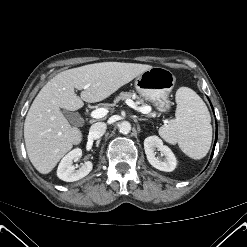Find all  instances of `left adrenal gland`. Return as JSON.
Here are the masks:
<instances>
[{"label":"left adrenal gland","instance_id":"1","mask_svg":"<svg viewBox=\"0 0 247 247\" xmlns=\"http://www.w3.org/2000/svg\"><path fill=\"white\" fill-rule=\"evenodd\" d=\"M138 120H139V121H146V120H148V119H146V118H138Z\"/></svg>","mask_w":247,"mask_h":247}]
</instances>
